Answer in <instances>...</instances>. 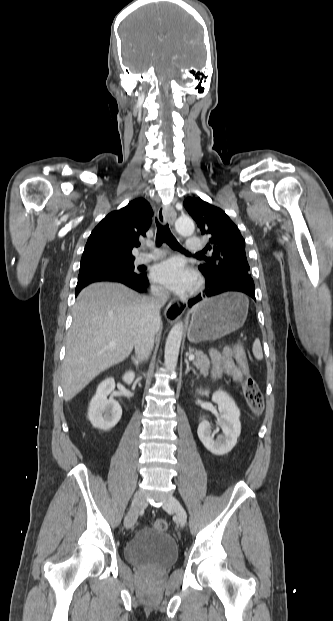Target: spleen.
Segmentation results:
<instances>
[{"mask_svg": "<svg viewBox=\"0 0 333 621\" xmlns=\"http://www.w3.org/2000/svg\"><path fill=\"white\" fill-rule=\"evenodd\" d=\"M252 352L254 357L257 360H262L263 359V352H262V348H261V344L259 340H255L253 343V347H252Z\"/></svg>", "mask_w": 333, "mask_h": 621, "instance_id": "1", "label": "spleen"}]
</instances>
